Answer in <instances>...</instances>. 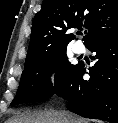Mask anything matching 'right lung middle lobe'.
Here are the masks:
<instances>
[{
	"instance_id": "right-lung-middle-lobe-1",
	"label": "right lung middle lobe",
	"mask_w": 118,
	"mask_h": 123,
	"mask_svg": "<svg viewBox=\"0 0 118 123\" xmlns=\"http://www.w3.org/2000/svg\"><path fill=\"white\" fill-rule=\"evenodd\" d=\"M67 58L66 49L42 56L24 67L19 88L11 105L46 100L65 85L77 69ZM55 72L54 86L49 81Z\"/></svg>"
}]
</instances>
